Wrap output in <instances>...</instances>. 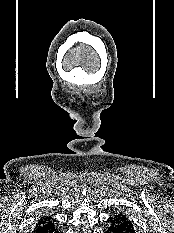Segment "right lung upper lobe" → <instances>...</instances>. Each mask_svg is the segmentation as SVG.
Returning <instances> with one entry per match:
<instances>
[{"instance_id":"cb5924a9","label":"right lung upper lobe","mask_w":174,"mask_h":233,"mask_svg":"<svg viewBox=\"0 0 174 233\" xmlns=\"http://www.w3.org/2000/svg\"><path fill=\"white\" fill-rule=\"evenodd\" d=\"M56 224V220L51 217H41L40 220L35 224L34 231L43 227L52 226Z\"/></svg>"}]
</instances>
